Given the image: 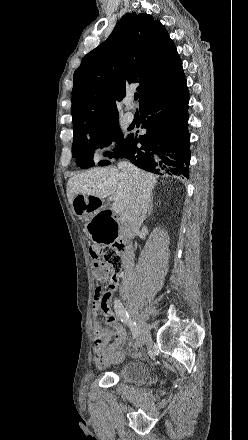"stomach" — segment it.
<instances>
[{"mask_svg":"<svg viewBox=\"0 0 248 440\" xmlns=\"http://www.w3.org/2000/svg\"><path fill=\"white\" fill-rule=\"evenodd\" d=\"M88 195H76L72 209L76 218H88L86 232H90L92 246H113L119 241L120 223L114 218V209H99L101 199Z\"/></svg>","mask_w":248,"mask_h":440,"instance_id":"0dacf381","label":"stomach"}]
</instances>
